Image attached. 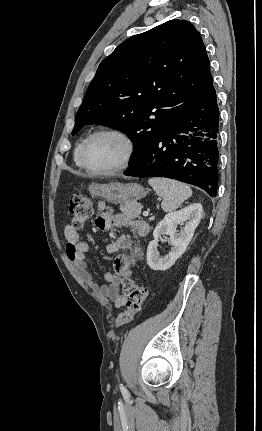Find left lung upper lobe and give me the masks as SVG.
<instances>
[{
  "label": "left lung upper lobe",
  "mask_w": 262,
  "mask_h": 431,
  "mask_svg": "<svg viewBox=\"0 0 262 431\" xmlns=\"http://www.w3.org/2000/svg\"><path fill=\"white\" fill-rule=\"evenodd\" d=\"M211 87L200 34L185 20H170L122 42L101 62L72 135L92 123L125 132L134 144L132 165Z\"/></svg>",
  "instance_id": "obj_1"
}]
</instances>
